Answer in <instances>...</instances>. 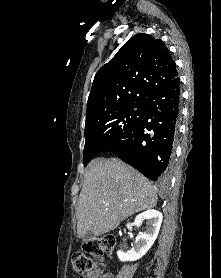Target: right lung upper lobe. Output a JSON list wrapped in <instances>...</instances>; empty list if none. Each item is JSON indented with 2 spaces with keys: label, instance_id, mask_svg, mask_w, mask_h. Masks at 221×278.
<instances>
[{
  "label": "right lung upper lobe",
  "instance_id": "right-lung-upper-lobe-1",
  "mask_svg": "<svg viewBox=\"0 0 221 278\" xmlns=\"http://www.w3.org/2000/svg\"><path fill=\"white\" fill-rule=\"evenodd\" d=\"M175 77L176 64L164 43L148 34H137L96 73L88 97L86 121L144 102L154 90Z\"/></svg>",
  "mask_w": 221,
  "mask_h": 278
}]
</instances>
